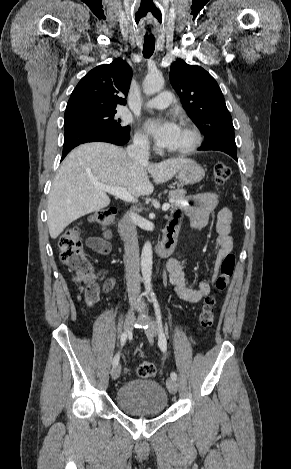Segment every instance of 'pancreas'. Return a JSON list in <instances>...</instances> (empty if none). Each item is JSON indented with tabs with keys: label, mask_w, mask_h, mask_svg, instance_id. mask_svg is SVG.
Here are the masks:
<instances>
[{
	"label": "pancreas",
	"mask_w": 291,
	"mask_h": 469,
	"mask_svg": "<svg viewBox=\"0 0 291 469\" xmlns=\"http://www.w3.org/2000/svg\"><path fill=\"white\" fill-rule=\"evenodd\" d=\"M186 191L183 189L171 190L168 193L169 199L173 200L172 206H177L181 201L185 199Z\"/></svg>",
	"instance_id": "1"
}]
</instances>
